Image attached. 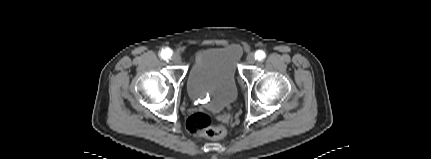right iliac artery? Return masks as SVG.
Listing matches in <instances>:
<instances>
[{
    "label": "right iliac artery",
    "mask_w": 431,
    "mask_h": 159,
    "mask_svg": "<svg viewBox=\"0 0 431 159\" xmlns=\"http://www.w3.org/2000/svg\"><path fill=\"white\" fill-rule=\"evenodd\" d=\"M171 55H172V50L169 48H166V49L161 51V57L165 60L170 58Z\"/></svg>",
    "instance_id": "1"
}]
</instances>
